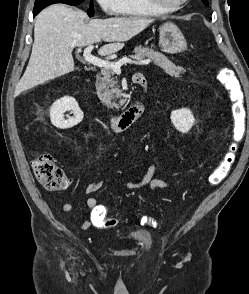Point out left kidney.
Wrapping results in <instances>:
<instances>
[{
  "label": "left kidney",
  "instance_id": "1",
  "mask_svg": "<svg viewBox=\"0 0 249 294\" xmlns=\"http://www.w3.org/2000/svg\"><path fill=\"white\" fill-rule=\"evenodd\" d=\"M171 122L179 132L187 133L192 128L195 119L189 109L182 108L172 111Z\"/></svg>",
  "mask_w": 249,
  "mask_h": 294
}]
</instances>
